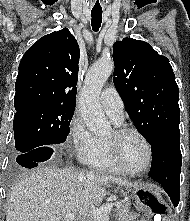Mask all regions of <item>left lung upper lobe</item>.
Returning a JSON list of instances; mask_svg holds the SVG:
<instances>
[{"instance_id":"1","label":"left lung upper lobe","mask_w":190,"mask_h":221,"mask_svg":"<svg viewBox=\"0 0 190 221\" xmlns=\"http://www.w3.org/2000/svg\"><path fill=\"white\" fill-rule=\"evenodd\" d=\"M113 59L114 85L146 140L180 133L179 90L169 60L132 38L114 43Z\"/></svg>"}]
</instances>
